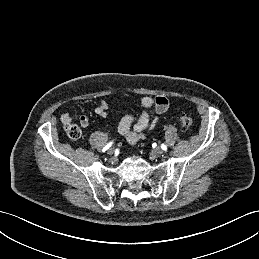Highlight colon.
Wrapping results in <instances>:
<instances>
[{"label":"colon","instance_id":"5ec220e1","mask_svg":"<svg viewBox=\"0 0 259 259\" xmlns=\"http://www.w3.org/2000/svg\"><path fill=\"white\" fill-rule=\"evenodd\" d=\"M178 124L183 130L189 131L192 127L193 120L188 115H181L178 119ZM65 132H66L67 136L73 140L79 139L82 134L79 126H77L76 124H71V123H68L65 125Z\"/></svg>","mask_w":259,"mask_h":259}]
</instances>
